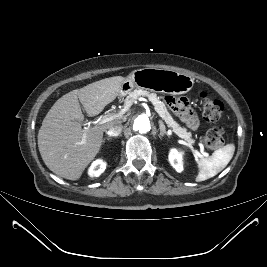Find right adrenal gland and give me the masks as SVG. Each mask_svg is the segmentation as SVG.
I'll return each instance as SVG.
<instances>
[{
    "mask_svg": "<svg viewBox=\"0 0 267 267\" xmlns=\"http://www.w3.org/2000/svg\"><path fill=\"white\" fill-rule=\"evenodd\" d=\"M111 139H112L111 137H106V138H104L103 143H105L106 140L109 141V140H111Z\"/></svg>",
    "mask_w": 267,
    "mask_h": 267,
    "instance_id": "1",
    "label": "right adrenal gland"
}]
</instances>
